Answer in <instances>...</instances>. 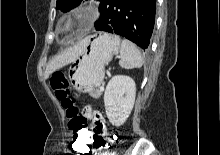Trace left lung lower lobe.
I'll use <instances>...</instances> for the list:
<instances>
[{
  "label": "left lung lower lobe",
  "instance_id": "1",
  "mask_svg": "<svg viewBox=\"0 0 220 155\" xmlns=\"http://www.w3.org/2000/svg\"><path fill=\"white\" fill-rule=\"evenodd\" d=\"M96 30L123 36L146 50L154 28L156 0H101Z\"/></svg>",
  "mask_w": 220,
  "mask_h": 155
}]
</instances>
